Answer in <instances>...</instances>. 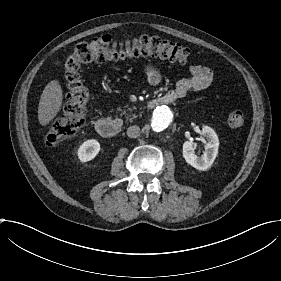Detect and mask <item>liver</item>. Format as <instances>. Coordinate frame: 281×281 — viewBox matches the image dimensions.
<instances>
[{"label": "liver", "mask_w": 281, "mask_h": 281, "mask_svg": "<svg viewBox=\"0 0 281 281\" xmlns=\"http://www.w3.org/2000/svg\"><path fill=\"white\" fill-rule=\"evenodd\" d=\"M64 90L58 78L51 80L43 90L38 106V121L48 126L59 114L63 105Z\"/></svg>", "instance_id": "6515ba94"}]
</instances>
